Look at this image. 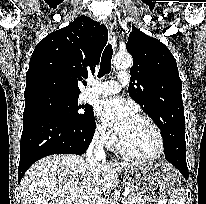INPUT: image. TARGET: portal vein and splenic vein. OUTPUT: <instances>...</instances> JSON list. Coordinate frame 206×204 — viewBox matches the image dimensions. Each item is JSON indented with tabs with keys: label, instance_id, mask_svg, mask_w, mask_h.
Instances as JSON below:
<instances>
[{
	"label": "portal vein and splenic vein",
	"instance_id": "1",
	"mask_svg": "<svg viewBox=\"0 0 206 204\" xmlns=\"http://www.w3.org/2000/svg\"><path fill=\"white\" fill-rule=\"evenodd\" d=\"M129 192H130V190L126 188V189L124 190V192H123V195H124V196H127V195L129 194ZM160 204H163V203L160 202Z\"/></svg>",
	"mask_w": 206,
	"mask_h": 204
}]
</instances>
